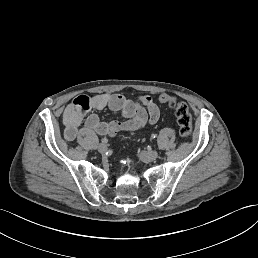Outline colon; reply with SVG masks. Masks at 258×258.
<instances>
[{
	"instance_id": "obj_1",
	"label": "colon",
	"mask_w": 258,
	"mask_h": 258,
	"mask_svg": "<svg viewBox=\"0 0 258 258\" xmlns=\"http://www.w3.org/2000/svg\"><path fill=\"white\" fill-rule=\"evenodd\" d=\"M159 100L174 110L180 135L185 138L189 137L193 131V121L188 105L169 94H162Z\"/></svg>"
}]
</instances>
